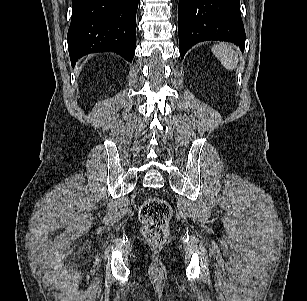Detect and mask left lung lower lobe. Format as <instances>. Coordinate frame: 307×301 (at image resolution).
Returning a JSON list of instances; mask_svg holds the SVG:
<instances>
[{
  "label": "left lung lower lobe",
  "instance_id": "0a47b994",
  "mask_svg": "<svg viewBox=\"0 0 307 301\" xmlns=\"http://www.w3.org/2000/svg\"><path fill=\"white\" fill-rule=\"evenodd\" d=\"M178 31L182 59L193 45L208 40L233 42L243 50L240 0H179Z\"/></svg>",
  "mask_w": 307,
  "mask_h": 301
}]
</instances>
